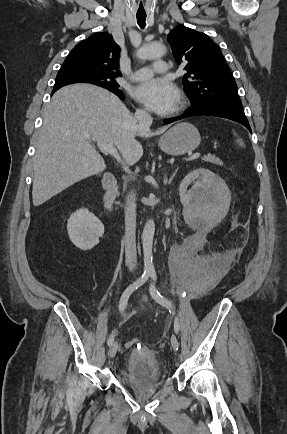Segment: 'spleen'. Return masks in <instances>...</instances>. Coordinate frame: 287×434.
<instances>
[{"label":"spleen","mask_w":287,"mask_h":434,"mask_svg":"<svg viewBox=\"0 0 287 434\" xmlns=\"http://www.w3.org/2000/svg\"><path fill=\"white\" fill-rule=\"evenodd\" d=\"M237 143L239 144V146L243 147L244 146V142L242 139H237Z\"/></svg>","instance_id":"spleen-1"}]
</instances>
